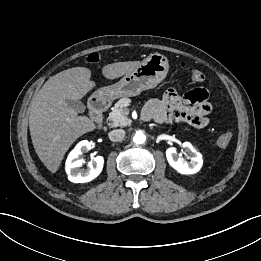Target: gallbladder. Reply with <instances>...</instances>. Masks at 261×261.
Here are the masks:
<instances>
[{"label":"gallbladder","instance_id":"1","mask_svg":"<svg viewBox=\"0 0 261 261\" xmlns=\"http://www.w3.org/2000/svg\"><path fill=\"white\" fill-rule=\"evenodd\" d=\"M67 105L78 113H83L86 109L85 105L79 100L66 99Z\"/></svg>","mask_w":261,"mask_h":261}]
</instances>
